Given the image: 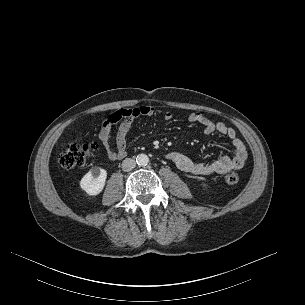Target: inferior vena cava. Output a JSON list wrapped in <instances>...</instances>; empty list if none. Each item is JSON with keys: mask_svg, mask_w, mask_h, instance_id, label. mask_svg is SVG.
Segmentation results:
<instances>
[{"mask_svg": "<svg viewBox=\"0 0 305 305\" xmlns=\"http://www.w3.org/2000/svg\"><path fill=\"white\" fill-rule=\"evenodd\" d=\"M135 166H136V162L132 158H126L122 162V170L126 172L131 171L132 169L135 168Z\"/></svg>", "mask_w": 305, "mask_h": 305, "instance_id": "inferior-vena-cava-1", "label": "inferior vena cava"}]
</instances>
